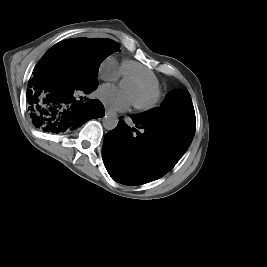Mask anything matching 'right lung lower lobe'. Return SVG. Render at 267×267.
<instances>
[{
	"instance_id": "98d812e1",
	"label": "right lung lower lobe",
	"mask_w": 267,
	"mask_h": 267,
	"mask_svg": "<svg viewBox=\"0 0 267 267\" xmlns=\"http://www.w3.org/2000/svg\"><path fill=\"white\" fill-rule=\"evenodd\" d=\"M27 93L29 114L36 128L61 133L77 129L89 119L104 116L98 100L81 102L77 92L89 94L96 88L76 86L64 73L43 63L36 65Z\"/></svg>"
}]
</instances>
